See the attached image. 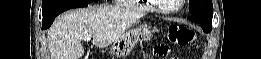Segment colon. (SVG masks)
I'll use <instances>...</instances> for the list:
<instances>
[{
    "mask_svg": "<svg viewBox=\"0 0 261 59\" xmlns=\"http://www.w3.org/2000/svg\"><path fill=\"white\" fill-rule=\"evenodd\" d=\"M167 38L173 44L186 46L194 41L195 32L186 26L173 24L168 28ZM169 53L170 48L167 44H157L153 49L155 58H166Z\"/></svg>",
    "mask_w": 261,
    "mask_h": 59,
    "instance_id": "colon-1",
    "label": "colon"
}]
</instances>
